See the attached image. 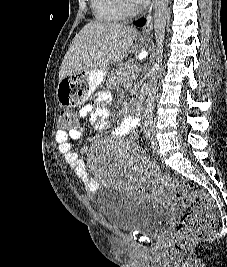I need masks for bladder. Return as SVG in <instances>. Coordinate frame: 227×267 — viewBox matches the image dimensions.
<instances>
[{
  "mask_svg": "<svg viewBox=\"0 0 227 267\" xmlns=\"http://www.w3.org/2000/svg\"><path fill=\"white\" fill-rule=\"evenodd\" d=\"M100 210L109 226L120 231L161 235L174 216L171 208L153 199L140 200L130 197L121 189L103 187Z\"/></svg>",
  "mask_w": 227,
  "mask_h": 267,
  "instance_id": "obj_1",
  "label": "bladder"
}]
</instances>
